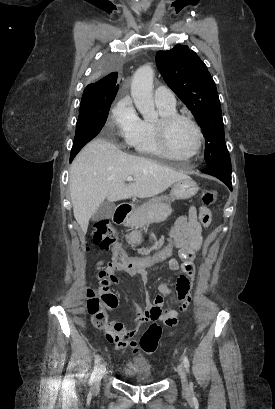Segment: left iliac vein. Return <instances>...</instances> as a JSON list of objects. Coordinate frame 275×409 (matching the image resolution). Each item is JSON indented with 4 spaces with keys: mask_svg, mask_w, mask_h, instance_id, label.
Masks as SVG:
<instances>
[{
    "mask_svg": "<svg viewBox=\"0 0 275 409\" xmlns=\"http://www.w3.org/2000/svg\"><path fill=\"white\" fill-rule=\"evenodd\" d=\"M177 372H178V374L180 376V379H181V382H182L183 391L188 392L190 386H189V383H188V380H187V375H186L184 366L179 364L178 368H177Z\"/></svg>",
    "mask_w": 275,
    "mask_h": 409,
    "instance_id": "4c4485c4",
    "label": "left iliac vein"
}]
</instances>
